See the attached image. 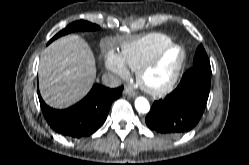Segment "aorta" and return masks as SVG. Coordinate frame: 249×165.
Returning a JSON list of instances; mask_svg holds the SVG:
<instances>
[{"label": "aorta", "mask_w": 249, "mask_h": 165, "mask_svg": "<svg viewBox=\"0 0 249 165\" xmlns=\"http://www.w3.org/2000/svg\"><path fill=\"white\" fill-rule=\"evenodd\" d=\"M135 108L140 113H148L150 110V104L144 97H137L135 100Z\"/></svg>", "instance_id": "1"}]
</instances>
